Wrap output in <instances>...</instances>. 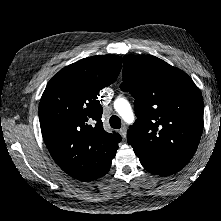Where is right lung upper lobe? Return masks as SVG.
Segmentation results:
<instances>
[{
	"mask_svg": "<svg viewBox=\"0 0 221 221\" xmlns=\"http://www.w3.org/2000/svg\"><path fill=\"white\" fill-rule=\"evenodd\" d=\"M122 58H84L59 71L46 86L39 104L44 142L58 166L81 181L104 176L121 136L107 133L101 120L99 91L115 82Z\"/></svg>",
	"mask_w": 221,
	"mask_h": 221,
	"instance_id": "obj_1",
	"label": "right lung upper lobe"
}]
</instances>
